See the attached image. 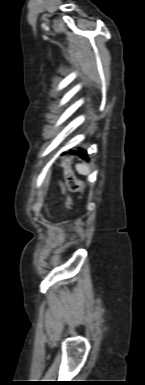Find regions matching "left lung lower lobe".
<instances>
[{"mask_svg": "<svg viewBox=\"0 0 145 385\" xmlns=\"http://www.w3.org/2000/svg\"><path fill=\"white\" fill-rule=\"evenodd\" d=\"M78 153H79L80 156H82V157H84L85 159L88 160V156H87V154H86V151L81 150V151H79Z\"/></svg>", "mask_w": 145, "mask_h": 385, "instance_id": "left-lung-lower-lobe-1", "label": "left lung lower lobe"}]
</instances>
